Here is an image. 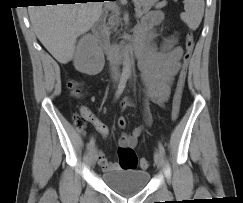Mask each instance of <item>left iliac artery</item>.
<instances>
[{"label": "left iliac artery", "mask_w": 243, "mask_h": 203, "mask_svg": "<svg viewBox=\"0 0 243 203\" xmlns=\"http://www.w3.org/2000/svg\"><path fill=\"white\" fill-rule=\"evenodd\" d=\"M158 148H159V151L164 155L165 154V149H164V147H163L161 142L158 143Z\"/></svg>", "instance_id": "1"}]
</instances>
